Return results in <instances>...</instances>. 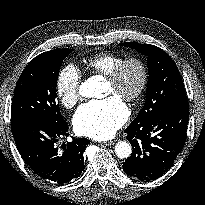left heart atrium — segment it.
<instances>
[{"label": "left heart atrium", "mask_w": 205, "mask_h": 205, "mask_svg": "<svg viewBox=\"0 0 205 205\" xmlns=\"http://www.w3.org/2000/svg\"><path fill=\"white\" fill-rule=\"evenodd\" d=\"M127 118L126 105L119 97L110 96L83 104L74 116L73 125L78 134L103 140L113 136Z\"/></svg>", "instance_id": "left-heart-atrium-1"}]
</instances>
